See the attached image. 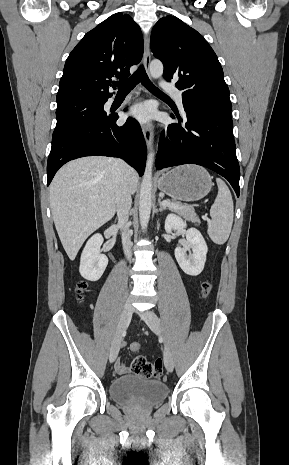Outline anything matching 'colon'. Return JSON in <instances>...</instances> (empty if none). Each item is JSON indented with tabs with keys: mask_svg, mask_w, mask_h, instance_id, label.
<instances>
[{
	"mask_svg": "<svg viewBox=\"0 0 289 465\" xmlns=\"http://www.w3.org/2000/svg\"><path fill=\"white\" fill-rule=\"evenodd\" d=\"M87 284L85 281H80L76 286V292L78 298H82L84 291L86 290ZM212 285L210 281L205 280L202 283V296L207 297L211 291ZM140 344L133 343L131 345L132 352H138L140 350ZM133 371L145 378H159L162 375V361L161 359H156L151 362L148 361L143 356H136L133 359Z\"/></svg>",
	"mask_w": 289,
	"mask_h": 465,
	"instance_id": "colon-1",
	"label": "colon"
}]
</instances>
